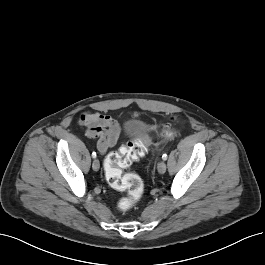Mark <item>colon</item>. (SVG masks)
Segmentation results:
<instances>
[{
    "mask_svg": "<svg viewBox=\"0 0 265 265\" xmlns=\"http://www.w3.org/2000/svg\"><path fill=\"white\" fill-rule=\"evenodd\" d=\"M170 129L165 130L169 134ZM145 150V143L140 140L131 141L122 146L119 151L112 152L105 160V175L109 185L119 191H126L127 197L120 200L122 209L134 205L143 195L144 184L134 173H124L133 161L140 158Z\"/></svg>",
    "mask_w": 265,
    "mask_h": 265,
    "instance_id": "5ec220e1",
    "label": "colon"
}]
</instances>
